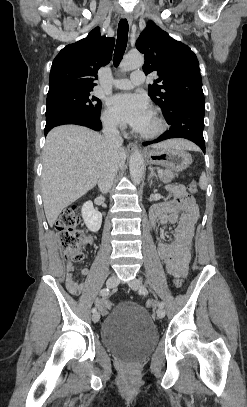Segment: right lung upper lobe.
I'll use <instances>...</instances> for the list:
<instances>
[{
  "label": "right lung upper lobe",
  "instance_id": "obj_1",
  "mask_svg": "<svg viewBox=\"0 0 247 407\" xmlns=\"http://www.w3.org/2000/svg\"><path fill=\"white\" fill-rule=\"evenodd\" d=\"M114 38L100 35L98 27L86 38L66 46L52 63L49 92L61 88H93L98 69L112 58Z\"/></svg>",
  "mask_w": 247,
  "mask_h": 407
}]
</instances>
